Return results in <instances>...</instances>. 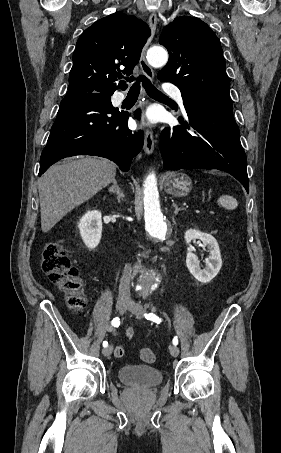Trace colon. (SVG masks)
Segmentation results:
<instances>
[{
    "instance_id": "5ec220e1",
    "label": "colon",
    "mask_w": 281,
    "mask_h": 453,
    "mask_svg": "<svg viewBox=\"0 0 281 453\" xmlns=\"http://www.w3.org/2000/svg\"><path fill=\"white\" fill-rule=\"evenodd\" d=\"M42 270L67 295L73 311L80 313L86 311L79 271L71 265L70 254L60 242H46L42 245ZM139 359L143 363H155L158 357L150 349H140Z\"/></svg>"
}]
</instances>
